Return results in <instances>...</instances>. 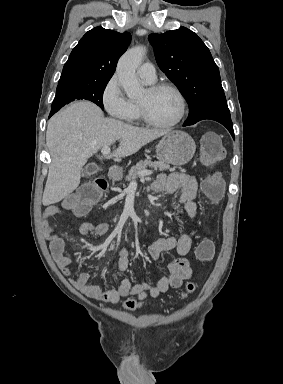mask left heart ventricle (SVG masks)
I'll list each match as a JSON object with an SVG mask.
<instances>
[{"label":"left heart ventricle","instance_id":"1","mask_svg":"<svg viewBox=\"0 0 283 384\" xmlns=\"http://www.w3.org/2000/svg\"><path fill=\"white\" fill-rule=\"evenodd\" d=\"M138 102L142 103L149 116L159 123L171 122L179 113V101L169 90L152 92L147 88Z\"/></svg>","mask_w":283,"mask_h":384}]
</instances>
